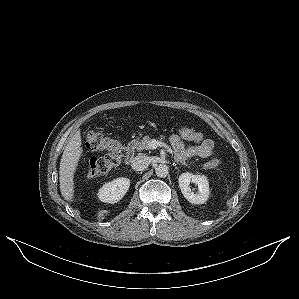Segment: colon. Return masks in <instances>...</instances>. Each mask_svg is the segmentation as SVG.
<instances>
[{
  "label": "colon",
  "mask_w": 299,
  "mask_h": 299,
  "mask_svg": "<svg viewBox=\"0 0 299 299\" xmlns=\"http://www.w3.org/2000/svg\"><path fill=\"white\" fill-rule=\"evenodd\" d=\"M184 141L195 142L203 137L201 131L196 128L182 126L177 128L176 134ZM86 145L93 151H105L103 157H92L86 167L88 177H99L108 174L115 168L125 155V149L120 141L106 136L100 132L89 130L86 134ZM217 162H211L216 165Z\"/></svg>",
  "instance_id": "colon-1"
}]
</instances>
